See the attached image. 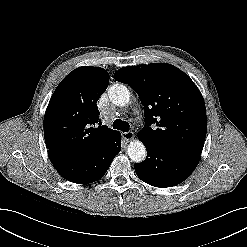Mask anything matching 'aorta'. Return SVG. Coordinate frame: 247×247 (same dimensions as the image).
<instances>
[{
	"instance_id": "1",
	"label": "aorta",
	"mask_w": 247,
	"mask_h": 247,
	"mask_svg": "<svg viewBox=\"0 0 247 247\" xmlns=\"http://www.w3.org/2000/svg\"><path fill=\"white\" fill-rule=\"evenodd\" d=\"M110 101L117 106H126L130 101V92L123 84H114L108 90ZM128 156L136 163L146 158V148L140 140H133L127 149Z\"/></svg>"
}]
</instances>
